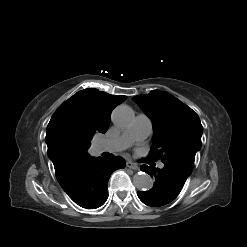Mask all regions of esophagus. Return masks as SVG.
Here are the masks:
<instances>
[{"label":"esophagus","instance_id":"1","mask_svg":"<svg viewBox=\"0 0 247 247\" xmlns=\"http://www.w3.org/2000/svg\"><path fill=\"white\" fill-rule=\"evenodd\" d=\"M126 166H127L128 168H130V169H133V170H137V169H138L137 164H135V163H133V162H131V161H127V162H126Z\"/></svg>","mask_w":247,"mask_h":247}]
</instances>
